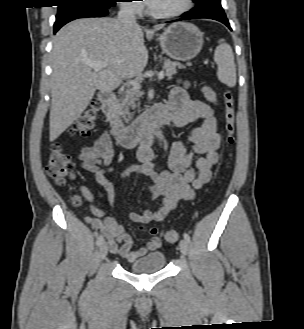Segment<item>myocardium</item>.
Listing matches in <instances>:
<instances>
[{
  "instance_id": "f54148a6",
  "label": "myocardium",
  "mask_w": 304,
  "mask_h": 329,
  "mask_svg": "<svg viewBox=\"0 0 304 329\" xmlns=\"http://www.w3.org/2000/svg\"><path fill=\"white\" fill-rule=\"evenodd\" d=\"M193 6V0H184L183 5L173 11L156 12L147 5V14L155 19H172L187 13Z\"/></svg>"
}]
</instances>
